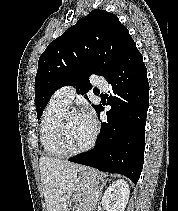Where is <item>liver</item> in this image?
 Returning a JSON list of instances; mask_svg holds the SVG:
<instances>
[{"label": "liver", "instance_id": "6515ba94", "mask_svg": "<svg viewBox=\"0 0 178 211\" xmlns=\"http://www.w3.org/2000/svg\"><path fill=\"white\" fill-rule=\"evenodd\" d=\"M85 167L47 156L39 159V169L47 211H68L77 184V173Z\"/></svg>", "mask_w": 178, "mask_h": 211}]
</instances>
